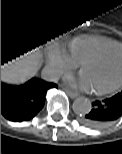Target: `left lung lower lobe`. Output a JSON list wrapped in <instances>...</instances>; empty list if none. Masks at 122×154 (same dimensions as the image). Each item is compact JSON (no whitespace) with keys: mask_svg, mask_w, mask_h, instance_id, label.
<instances>
[{"mask_svg":"<svg viewBox=\"0 0 122 154\" xmlns=\"http://www.w3.org/2000/svg\"><path fill=\"white\" fill-rule=\"evenodd\" d=\"M92 110L80 118L89 128L102 129L113 124L122 116V92L102 101L92 103Z\"/></svg>","mask_w":122,"mask_h":154,"instance_id":"0a47b994","label":"left lung lower lobe"}]
</instances>
